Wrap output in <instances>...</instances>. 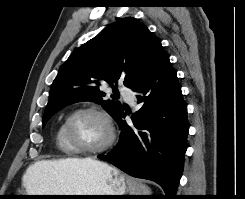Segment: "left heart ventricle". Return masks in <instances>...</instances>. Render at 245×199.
I'll return each mask as SVG.
<instances>
[{"mask_svg":"<svg viewBox=\"0 0 245 199\" xmlns=\"http://www.w3.org/2000/svg\"><path fill=\"white\" fill-rule=\"evenodd\" d=\"M73 139L83 147L96 148L108 138V129L105 122L94 114L77 116L70 126Z\"/></svg>","mask_w":245,"mask_h":199,"instance_id":"b2bd125f","label":"left heart ventricle"}]
</instances>
